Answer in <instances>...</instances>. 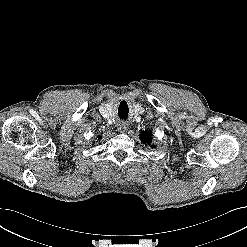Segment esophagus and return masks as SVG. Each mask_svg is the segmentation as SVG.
<instances>
[{
	"instance_id": "34e87169",
	"label": "esophagus",
	"mask_w": 247,
	"mask_h": 247,
	"mask_svg": "<svg viewBox=\"0 0 247 247\" xmlns=\"http://www.w3.org/2000/svg\"><path fill=\"white\" fill-rule=\"evenodd\" d=\"M129 127V124L125 121H121L119 124H118V130L122 133H124L125 131H127Z\"/></svg>"
}]
</instances>
